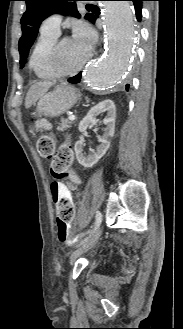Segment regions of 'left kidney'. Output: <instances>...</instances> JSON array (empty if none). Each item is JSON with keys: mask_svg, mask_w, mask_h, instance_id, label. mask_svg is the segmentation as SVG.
I'll return each mask as SVG.
<instances>
[{"mask_svg": "<svg viewBox=\"0 0 183 329\" xmlns=\"http://www.w3.org/2000/svg\"><path fill=\"white\" fill-rule=\"evenodd\" d=\"M103 111L107 112V116L103 119V123L106 125V129L102 136H97L100 145L96 148V151L90 155H85L83 153V136L79 137V140L75 143L74 146L76 158L78 162L85 168H90L95 165L106 153L110 146V139L113 137L115 131L116 107L114 102L110 99H107L98 103L88 111L87 115L79 123V131L83 133L86 131L90 123H95L97 121L96 116Z\"/></svg>", "mask_w": 183, "mask_h": 329, "instance_id": "obj_1", "label": "left kidney"}]
</instances>
